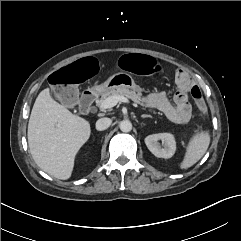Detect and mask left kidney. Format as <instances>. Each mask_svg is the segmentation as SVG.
<instances>
[{"instance_id":"5707ae66","label":"left kidney","mask_w":241,"mask_h":241,"mask_svg":"<svg viewBox=\"0 0 241 241\" xmlns=\"http://www.w3.org/2000/svg\"><path fill=\"white\" fill-rule=\"evenodd\" d=\"M162 141V147L159 141ZM145 144L152 154L158 158H171L176 151L174 136L170 133L152 134L145 138Z\"/></svg>"}]
</instances>
